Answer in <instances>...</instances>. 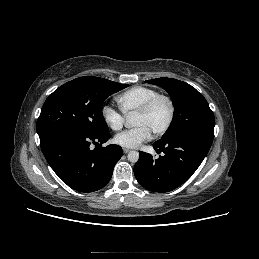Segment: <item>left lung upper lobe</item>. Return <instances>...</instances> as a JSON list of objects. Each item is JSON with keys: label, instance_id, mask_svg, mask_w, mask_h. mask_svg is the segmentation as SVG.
Segmentation results:
<instances>
[{"label": "left lung upper lobe", "instance_id": "left-lung-upper-lobe-1", "mask_svg": "<svg viewBox=\"0 0 259 259\" xmlns=\"http://www.w3.org/2000/svg\"><path fill=\"white\" fill-rule=\"evenodd\" d=\"M146 82L161 86L170 95L175 107L173 124L162 139L187 132L214 137V114L206 99L194 87L186 82L166 77Z\"/></svg>", "mask_w": 259, "mask_h": 259}]
</instances>
